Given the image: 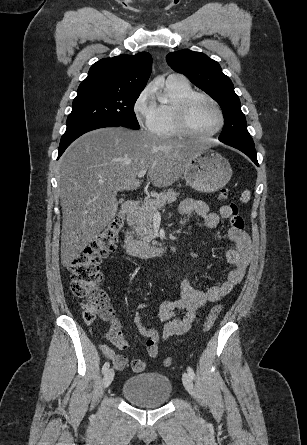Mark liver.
Listing matches in <instances>:
<instances>
[{
    "mask_svg": "<svg viewBox=\"0 0 307 445\" xmlns=\"http://www.w3.org/2000/svg\"><path fill=\"white\" fill-rule=\"evenodd\" d=\"M200 150L196 140L161 138L144 130L97 128L61 158V263L68 267L114 218L119 190H136L147 170L153 186H171ZM149 182V184H150Z\"/></svg>",
    "mask_w": 307,
    "mask_h": 445,
    "instance_id": "liver-1",
    "label": "liver"
}]
</instances>
